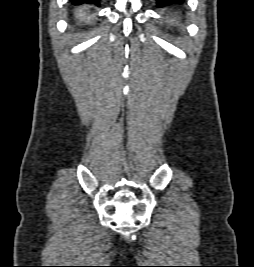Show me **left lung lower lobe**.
<instances>
[{
	"label": "left lung lower lobe",
	"instance_id": "left-lung-lower-lobe-1",
	"mask_svg": "<svg viewBox=\"0 0 254 267\" xmlns=\"http://www.w3.org/2000/svg\"><path fill=\"white\" fill-rule=\"evenodd\" d=\"M158 5H166L173 3H183L185 0H156Z\"/></svg>",
	"mask_w": 254,
	"mask_h": 267
}]
</instances>
